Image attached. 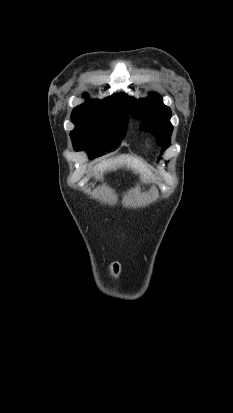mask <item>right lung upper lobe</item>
I'll return each mask as SVG.
<instances>
[{
    "label": "right lung upper lobe",
    "instance_id": "cb5924a9",
    "mask_svg": "<svg viewBox=\"0 0 233 413\" xmlns=\"http://www.w3.org/2000/svg\"><path fill=\"white\" fill-rule=\"evenodd\" d=\"M124 101L125 100H124V95L123 94H121L120 96L118 94H114L111 97H109L108 99H105L103 101L91 100L90 102L103 103V104H122V105H124Z\"/></svg>",
    "mask_w": 233,
    "mask_h": 413
}]
</instances>
